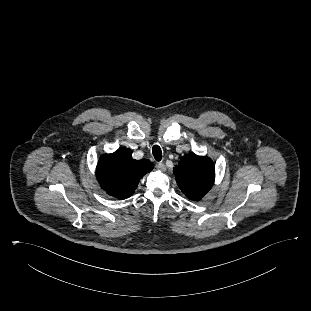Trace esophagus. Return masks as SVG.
<instances>
[{
	"instance_id": "esophagus-1",
	"label": "esophagus",
	"mask_w": 311,
	"mask_h": 311,
	"mask_svg": "<svg viewBox=\"0 0 311 311\" xmlns=\"http://www.w3.org/2000/svg\"><path fill=\"white\" fill-rule=\"evenodd\" d=\"M156 168L160 171H165L166 170V166L163 162H159L156 164Z\"/></svg>"
}]
</instances>
